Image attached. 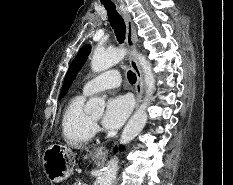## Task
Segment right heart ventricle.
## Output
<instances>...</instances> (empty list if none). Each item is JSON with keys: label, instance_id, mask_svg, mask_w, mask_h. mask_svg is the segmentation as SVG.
I'll list each match as a JSON object with an SVG mask.
<instances>
[{"label": "right heart ventricle", "instance_id": "1", "mask_svg": "<svg viewBox=\"0 0 233 185\" xmlns=\"http://www.w3.org/2000/svg\"><path fill=\"white\" fill-rule=\"evenodd\" d=\"M84 95L70 99L62 115V133L71 146L87 145L94 135V124L83 110Z\"/></svg>", "mask_w": 233, "mask_h": 185}]
</instances>
